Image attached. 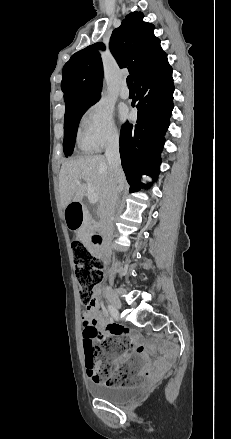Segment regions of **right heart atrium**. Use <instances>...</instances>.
Wrapping results in <instances>:
<instances>
[{
    "label": "right heart atrium",
    "instance_id": "right-heart-atrium-1",
    "mask_svg": "<svg viewBox=\"0 0 231 439\" xmlns=\"http://www.w3.org/2000/svg\"><path fill=\"white\" fill-rule=\"evenodd\" d=\"M80 136L81 141L94 151L115 145L119 132L112 109L103 102L90 105L81 120Z\"/></svg>",
    "mask_w": 231,
    "mask_h": 439
}]
</instances>
